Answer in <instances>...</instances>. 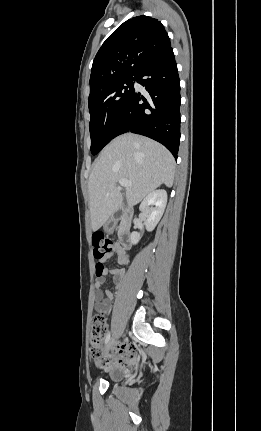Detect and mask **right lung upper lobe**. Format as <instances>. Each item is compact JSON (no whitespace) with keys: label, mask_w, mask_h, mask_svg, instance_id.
<instances>
[{"label":"right lung upper lobe","mask_w":261,"mask_h":431,"mask_svg":"<svg viewBox=\"0 0 261 431\" xmlns=\"http://www.w3.org/2000/svg\"><path fill=\"white\" fill-rule=\"evenodd\" d=\"M171 46L164 26L141 15L121 24L103 43L93 61L90 93L119 80L136 77L140 70Z\"/></svg>","instance_id":"obj_1"}]
</instances>
